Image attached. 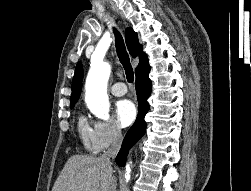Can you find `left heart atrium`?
Returning a JSON list of instances; mask_svg holds the SVG:
<instances>
[{"label": "left heart atrium", "instance_id": "39dd6f15", "mask_svg": "<svg viewBox=\"0 0 251 191\" xmlns=\"http://www.w3.org/2000/svg\"><path fill=\"white\" fill-rule=\"evenodd\" d=\"M115 114L119 126L127 127L136 117V107L130 100H121L116 104Z\"/></svg>", "mask_w": 251, "mask_h": 191}]
</instances>
